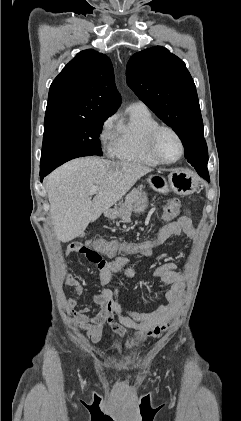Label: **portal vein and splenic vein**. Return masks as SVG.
Instances as JSON below:
<instances>
[{
    "mask_svg": "<svg viewBox=\"0 0 241 421\" xmlns=\"http://www.w3.org/2000/svg\"><path fill=\"white\" fill-rule=\"evenodd\" d=\"M97 191H98V187L97 186H92L91 189H90V191H89V194L90 195L96 194Z\"/></svg>",
    "mask_w": 241,
    "mask_h": 421,
    "instance_id": "portal-vein-and-splenic-vein-1",
    "label": "portal vein and splenic vein"
}]
</instances>
